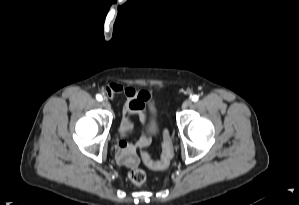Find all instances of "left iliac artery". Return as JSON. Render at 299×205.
Instances as JSON below:
<instances>
[{"instance_id":"obj_1","label":"left iliac artery","mask_w":299,"mask_h":205,"mask_svg":"<svg viewBox=\"0 0 299 205\" xmlns=\"http://www.w3.org/2000/svg\"><path fill=\"white\" fill-rule=\"evenodd\" d=\"M191 99H192L193 102H196V101H198L199 97L197 95H193L191 97Z\"/></svg>"}]
</instances>
